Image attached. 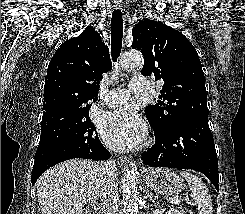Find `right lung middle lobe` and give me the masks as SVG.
<instances>
[{
  "instance_id": "1",
  "label": "right lung middle lobe",
  "mask_w": 245,
  "mask_h": 214,
  "mask_svg": "<svg viewBox=\"0 0 245 214\" xmlns=\"http://www.w3.org/2000/svg\"><path fill=\"white\" fill-rule=\"evenodd\" d=\"M97 141V134L87 114L63 123L55 128H47L41 130V137L39 145H52L57 144L66 149L74 151H87L88 147ZM40 156L39 153L35 154V159ZM51 162V161H46Z\"/></svg>"
}]
</instances>
